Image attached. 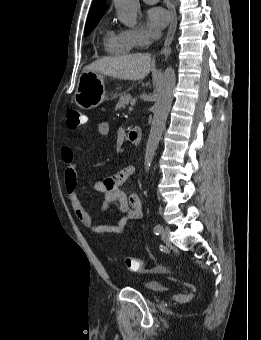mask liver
Segmentation results:
<instances>
[{
    "mask_svg": "<svg viewBox=\"0 0 261 340\" xmlns=\"http://www.w3.org/2000/svg\"><path fill=\"white\" fill-rule=\"evenodd\" d=\"M151 69V56L148 54H132L118 57H102L84 68V71L101 73L102 75L123 80H142Z\"/></svg>",
    "mask_w": 261,
    "mask_h": 340,
    "instance_id": "obj_1",
    "label": "liver"
}]
</instances>
